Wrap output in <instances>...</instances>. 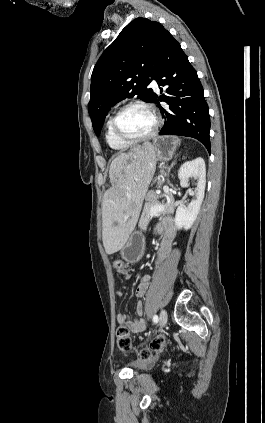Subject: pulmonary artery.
Segmentation results:
<instances>
[{
  "label": "pulmonary artery",
  "mask_w": 265,
  "mask_h": 423,
  "mask_svg": "<svg viewBox=\"0 0 265 423\" xmlns=\"http://www.w3.org/2000/svg\"><path fill=\"white\" fill-rule=\"evenodd\" d=\"M151 87H152L155 91H158V85H157V83H156L155 81H153V82L151 83Z\"/></svg>",
  "instance_id": "e3ab8cb5"
}]
</instances>
